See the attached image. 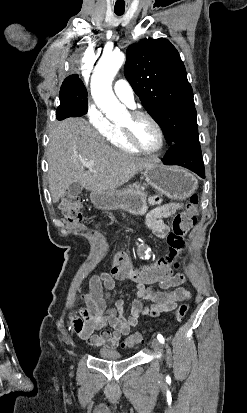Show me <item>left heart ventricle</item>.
Listing matches in <instances>:
<instances>
[{"mask_svg":"<svg viewBox=\"0 0 247 413\" xmlns=\"http://www.w3.org/2000/svg\"><path fill=\"white\" fill-rule=\"evenodd\" d=\"M134 130L139 143L146 149L153 150L160 145V134L148 120L143 118L138 120L135 123Z\"/></svg>","mask_w":247,"mask_h":413,"instance_id":"obj_1","label":"left heart ventricle"}]
</instances>
